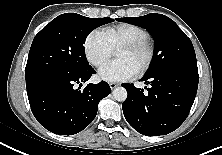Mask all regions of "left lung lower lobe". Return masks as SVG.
Returning <instances> with one entry per match:
<instances>
[{
	"mask_svg": "<svg viewBox=\"0 0 222 155\" xmlns=\"http://www.w3.org/2000/svg\"><path fill=\"white\" fill-rule=\"evenodd\" d=\"M143 89L122 84L128 92L122 108L127 122L146 136L166 135L187 118L193 105L199 75L183 69H169L145 74Z\"/></svg>",
	"mask_w": 222,
	"mask_h": 155,
	"instance_id": "obj_1",
	"label": "left lung lower lobe"
}]
</instances>
